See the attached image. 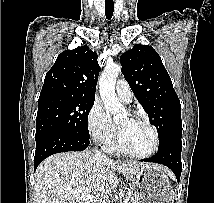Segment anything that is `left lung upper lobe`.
<instances>
[{
  "label": "left lung upper lobe",
  "instance_id": "1",
  "mask_svg": "<svg viewBox=\"0 0 214 203\" xmlns=\"http://www.w3.org/2000/svg\"><path fill=\"white\" fill-rule=\"evenodd\" d=\"M123 74L158 131L159 147L182 136L181 105L159 54L136 44L120 58Z\"/></svg>",
  "mask_w": 214,
  "mask_h": 203
}]
</instances>
